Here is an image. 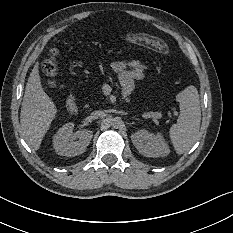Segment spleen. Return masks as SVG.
I'll return each mask as SVG.
<instances>
[{
    "mask_svg": "<svg viewBox=\"0 0 233 233\" xmlns=\"http://www.w3.org/2000/svg\"><path fill=\"white\" fill-rule=\"evenodd\" d=\"M180 115L177 123L170 128V139L177 154L190 150L199 138L201 109L198 90L195 86L186 87L177 96Z\"/></svg>",
    "mask_w": 233,
    "mask_h": 233,
    "instance_id": "1",
    "label": "spleen"
}]
</instances>
